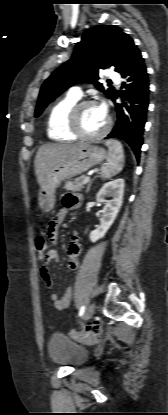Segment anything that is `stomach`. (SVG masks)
<instances>
[{"instance_id": "1", "label": "stomach", "mask_w": 168, "mask_h": 415, "mask_svg": "<svg viewBox=\"0 0 168 415\" xmlns=\"http://www.w3.org/2000/svg\"><path fill=\"white\" fill-rule=\"evenodd\" d=\"M107 157L106 151L96 145L83 144L75 154L54 165L39 190V207L45 213L55 205L56 188L65 179L80 175Z\"/></svg>"}]
</instances>
